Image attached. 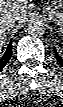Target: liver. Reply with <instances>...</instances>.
<instances>
[{
	"mask_svg": "<svg viewBox=\"0 0 63 107\" xmlns=\"http://www.w3.org/2000/svg\"><path fill=\"white\" fill-rule=\"evenodd\" d=\"M28 0H0V17L14 15L19 23L27 19ZM5 29L0 27V42L3 44L6 37Z\"/></svg>",
	"mask_w": 63,
	"mask_h": 107,
	"instance_id": "1",
	"label": "liver"
}]
</instances>
